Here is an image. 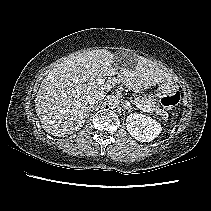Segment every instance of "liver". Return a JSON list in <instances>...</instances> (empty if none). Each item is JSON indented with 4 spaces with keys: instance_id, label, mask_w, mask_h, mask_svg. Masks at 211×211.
Listing matches in <instances>:
<instances>
[{
    "instance_id": "liver-1",
    "label": "liver",
    "mask_w": 211,
    "mask_h": 211,
    "mask_svg": "<svg viewBox=\"0 0 211 211\" xmlns=\"http://www.w3.org/2000/svg\"><path fill=\"white\" fill-rule=\"evenodd\" d=\"M134 60L133 69L121 68L110 51L99 49L72 56L54 67L43 79L35 99L43 129L59 137L78 131L87 118L88 97L98 91H109L117 83L143 91L171 80L155 62L144 57ZM116 74L118 78L98 83L102 77Z\"/></svg>"
}]
</instances>
